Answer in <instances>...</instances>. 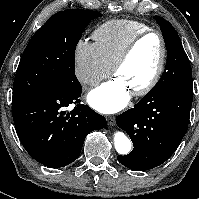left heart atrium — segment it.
Segmentation results:
<instances>
[{
  "mask_svg": "<svg viewBox=\"0 0 199 199\" xmlns=\"http://www.w3.org/2000/svg\"><path fill=\"white\" fill-rule=\"evenodd\" d=\"M87 100L98 112L112 114L126 107L130 100V90L124 81L116 76L91 90Z\"/></svg>",
  "mask_w": 199,
  "mask_h": 199,
  "instance_id": "left-heart-atrium-1",
  "label": "left heart atrium"
}]
</instances>
